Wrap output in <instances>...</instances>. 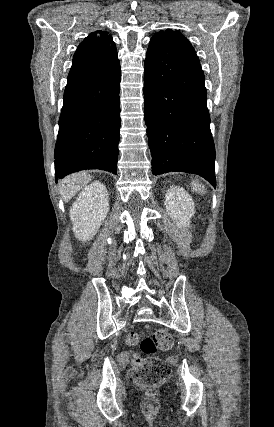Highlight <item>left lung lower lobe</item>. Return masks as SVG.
<instances>
[{"label": "left lung lower lobe", "instance_id": "left-lung-lower-lobe-1", "mask_svg": "<svg viewBox=\"0 0 274 427\" xmlns=\"http://www.w3.org/2000/svg\"><path fill=\"white\" fill-rule=\"evenodd\" d=\"M204 80L194 51L172 39H151L145 59L144 113L152 174L194 173L216 187Z\"/></svg>", "mask_w": 274, "mask_h": 427}]
</instances>
